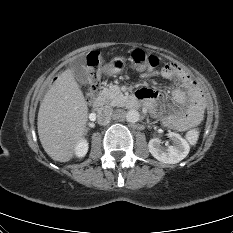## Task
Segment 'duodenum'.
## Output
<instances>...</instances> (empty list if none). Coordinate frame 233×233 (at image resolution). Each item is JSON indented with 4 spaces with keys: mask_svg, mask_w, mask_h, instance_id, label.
<instances>
[{
    "mask_svg": "<svg viewBox=\"0 0 233 233\" xmlns=\"http://www.w3.org/2000/svg\"><path fill=\"white\" fill-rule=\"evenodd\" d=\"M140 99H141L140 96L136 94V96L129 98V100L127 101V105L130 108H134L139 104ZM105 104H106V97L104 95L98 96L93 102V106L95 109H101L105 106Z\"/></svg>",
    "mask_w": 233,
    "mask_h": 233,
    "instance_id": "1",
    "label": "duodenum"
}]
</instances>
